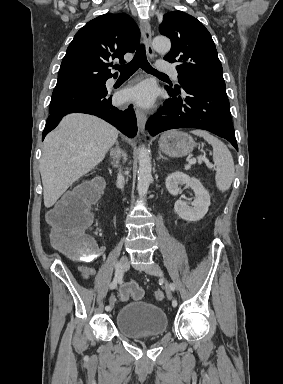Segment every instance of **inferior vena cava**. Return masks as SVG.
<instances>
[{"label": "inferior vena cava", "mask_w": 283, "mask_h": 384, "mask_svg": "<svg viewBox=\"0 0 283 384\" xmlns=\"http://www.w3.org/2000/svg\"><path fill=\"white\" fill-rule=\"evenodd\" d=\"M118 180H121V190H122V188H124L125 180H124L121 172H119V174H118Z\"/></svg>", "instance_id": "inferior-vena-cava-1"}]
</instances>
